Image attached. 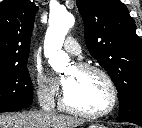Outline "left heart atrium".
Here are the masks:
<instances>
[{"mask_svg": "<svg viewBox=\"0 0 142 128\" xmlns=\"http://www.w3.org/2000/svg\"><path fill=\"white\" fill-rule=\"evenodd\" d=\"M70 83V79L68 77H65L62 79V84L64 86V88H66Z\"/></svg>", "mask_w": 142, "mask_h": 128, "instance_id": "left-heart-atrium-1", "label": "left heart atrium"}]
</instances>
